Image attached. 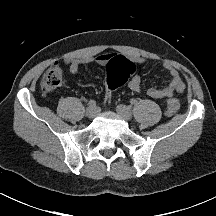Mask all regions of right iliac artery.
Wrapping results in <instances>:
<instances>
[{"label":"right iliac artery","mask_w":216,"mask_h":216,"mask_svg":"<svg viewBox=\"0 0 216 216\" xmlns=\"http://www.w3.org/2000/svg\"><path fill=\"white\" fill-rule=\"evenodd\" d=\"M88 105L90 107H95L96 106V102L94 100H90L89 103H88Z\"/></svg>","instance_id":"1"}]
</instances>
